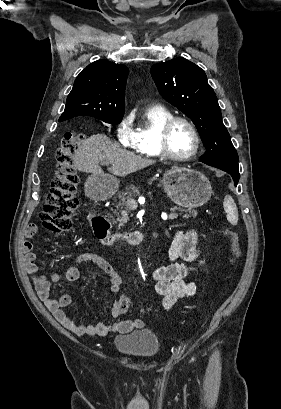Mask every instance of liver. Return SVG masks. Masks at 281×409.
<instances>
[{"label": "liver", "instance_id": "obj_1", "mask_svg": "<svg viewBox=\"0 0 281 409\" xmlns=\"http://www.w3.org/2000/svg\"><path fill=\"white\" fill-rule=\"evenodd\" d=\"M73 162L81 172H92L95 176H105L99 162H111L113 166H108L109 172L117 176H126L130 172L154 164L156 160L119 148L106 134H92L75 150Z\"/></svg>", "mask_w": 281, "mask_h": 409}]
</instances>
